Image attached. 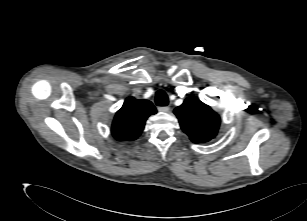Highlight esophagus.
I'll return each mask as SVG.
<instances>
[{
  "instance_id": "obj_1",
  "label": "esophagus",
  "mask_w": 307,
  "mask_h": 221,
  "mask_svg": "<svg viewBox=\"0 0 307 221\" xmlns=\"http://www.w3.org/2000/svg\"><path fill=\"white\" fill-rule=\"evenodd\" d=\"M170 110V107L169 106H161V107H158V111L159 112H169Z\"/></svg>"
}]
</instances>
